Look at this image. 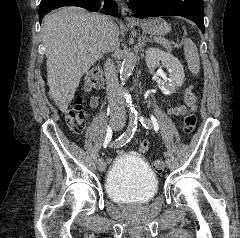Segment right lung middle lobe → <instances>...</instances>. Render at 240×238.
I'll return each mask as SVG.
<instances>
[{"label": "right lung middle lobe", "mask_w": 240, "mask_h": 238, "mask_svg": "<svg viewBox=\"0 0 240 238\" xmlns=\"http://www.w3.org/2000/svg\"><path fill=\"white\" fill-rule=\"evenodd\" d=\"M54 0H41L40 5H39V11L43 10L44 8L47 7L48 4L53 2Z\"/></svg>", "instance_id": "1"}]
</instances>
